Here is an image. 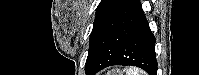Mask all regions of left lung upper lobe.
<instances>
[{
	"instance_id": "1",
	"label": "left lung upper lobe",
	"mask_w": 199,
	"mask_h": 75,
	"mask_svg": "<svg viewBox=\"0 0 199 75\" xmlns=\"http://www.w3.org/2000/svg\"><path fill=\"white\" fill-rule=\"evenodd\" d=\"M121 1L122 0H101L100 4L98 5L93 29L90 35V46L86 64L88 63L90 55L93 53L96 47L104 26Z\"/></svg>"
}]
</instances>
